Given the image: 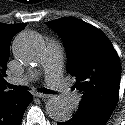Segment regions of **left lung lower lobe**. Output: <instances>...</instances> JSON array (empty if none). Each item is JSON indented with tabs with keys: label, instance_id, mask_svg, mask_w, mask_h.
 Here are the masks:
<instances>
[{
	"label": "left lung lower lobe",
	"instance_id": "0a47b994",
	"mask_svg": "<svg viewBox=\"0 0 125 125\" xmlns=\"http://www.w3.org/2000/svg\"><path fill=\"white\" fill-rule=\"evenodd\" d=\"M110 116L111 114L106 111L79 106L71 119L57 125H105Z\"/></svg>",
	"mask_w": 125,
	"mask_h": 125
}]
</instances>
